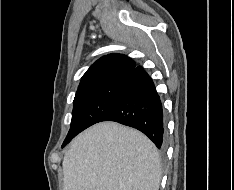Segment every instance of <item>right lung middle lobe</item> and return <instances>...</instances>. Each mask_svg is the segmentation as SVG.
<instances>
[{"label":"right lung middle lobe","mask_w":234,"mask_h":190,"mask_svg":"<svg viewBox=\"0 0 234 190\" xmlns=\"http://www.w3.org/2000/svg\"><path fill=\"white\" fill-rule=\"evenodd\" d=\"M125 79H116L76 92L71 127L62 147L78 133L98 123L117 99Z\"/></svg>","instance_id":"dd1d6c3e"}]
</instances>
